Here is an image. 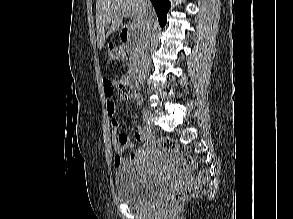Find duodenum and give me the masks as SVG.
I'll return each instance as SVG.
<instances>
[{"label": "duodenum", "mask_w": 293, "mask_h": 219, "mask_svg": "<svg viewBox=\"0 0 293 219\" xmlns=\"http://www.w3.org/2000/svg\"><path fill=\"white\" fill-rule=\"evenodd\" d=\"M121 41L134 47L136 50L140 49V40L138 36L128 27H123L120 32ZM142 62L137 60L135 67L128 73L125 78L126 83L134 89H138L142 83Z\"/></svg>", "instance_id": "duodenum-1"}]
</instances>
